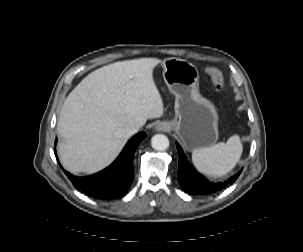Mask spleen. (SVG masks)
<instances>
[{
    "mask_svg": "<svg viewBox=\"0 0 303 252\" xmlns=\"http://www.w3.org/2000/svg\"><path fill=\"white\" fill-rule=\"evenodd\" d=\"M243 146L238 135L231 136L226 143L197 149L192 152V162L203 174L222 177L229 173L238 163Z\"/></svg>",
    "mask_w": 303,
    "mask_h": 252,
    "instance_id": "1",
    "label": "spleen"
}]
</instances>
